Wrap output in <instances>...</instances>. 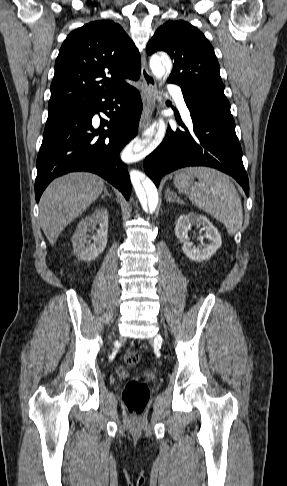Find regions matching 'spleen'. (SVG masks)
<instances>
[{
    "label": "spleen",
    "mask_w": 287,
    "mask_h": 486,
    "mask_svg": "<svg viewBox=\"0 0 287 486\" xmlns=\"http://www.w3.org/2000/svg\"><path fill=\"white\" fill-rule=\"evenodd\" d=\"M187 171L199 180L191 187L190 201L223 223L229 235H235L243 223V209L240 196L229 177L208 167H194Z\"/></svg>",
    "instance_id": "obj_1"
}]
</instances>
